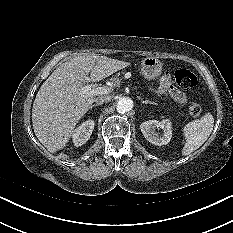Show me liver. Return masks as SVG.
<instances>
[{"label": "liver", "mask_w": 233, "mask_h": 233, "mask_svg": "<svg viewBox=\"0 0 233 233\" xmlns=\"http://www.w3.org/2000/svg\"><path fill=\"white\" fill-rule=\"evenodd\" d=\"M127 66L125 61L89 54L71 58L53 71L41 85L32 108L35 135L49 152L66 146L76 124L95 101V96L81 93L83 84L101 81Z\"/></svg>", "instance_id": "obj_1"}]
</instances>
